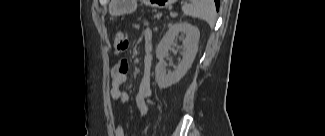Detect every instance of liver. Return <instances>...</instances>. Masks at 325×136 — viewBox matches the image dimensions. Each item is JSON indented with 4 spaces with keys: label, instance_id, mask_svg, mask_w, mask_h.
<instances>
[{
    "label": "liver",
    "instance_id": "1",
    "mask_svg": "<svg viewBox=\"0 0 325 136\" xmlns=\"http://www.w3.org/2000/svg\"><path fill=\"white\" fill-rule=\"evenodd\" d=\"M109 9H110V13L113 15V13H112V2L110 4V6H109Z\"/></svg>",
    "mask_w": 325,
    "mask_h": 136
}]
</instances>
